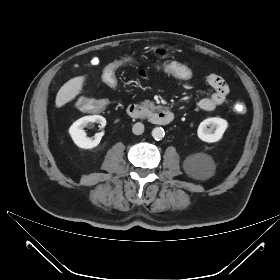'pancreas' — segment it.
I'll use <instances>...</instances> for the list:
<instances>
[{
    "label": "pancreas",
    "mask_w": 280,
    "mask_h": 280,
    "mask_svg": "<svg viewBox=\"0 0 280 280\" xmlns=\"http://www.w3.org/2000/svg\"><path fill=\"white\" fill-rule=\"evenodd\" d=\"M141 106L147 114H151L152 111L158 108L153 102L149 100L142 102Z\"/></svg>",
    "instance_id": "1"
}]
</instances>
